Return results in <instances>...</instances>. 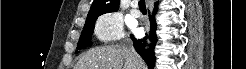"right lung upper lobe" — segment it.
Here are the masks:
<instances>
[{
  "mask_svg": "<svg viewBox=\"0 0 246 69\" xmlns=\"http://www.w3.org/2000/svg\"><path fill=\"white\" fill-rule=\"evenodd\" d=\"M119 9V0H94L86 21L96 20L98 16Z\"/></svg>",
  "mask_w": 246,
  "mask_h": 69,
  "instance_id": "1",
  "label": "right lung upper lobe"
}]
</instances>
